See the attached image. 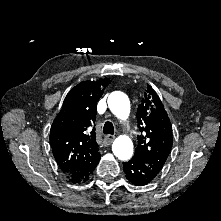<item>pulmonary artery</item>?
I'll list each match as a JSON object with an SVG mask.
<instances>
[{"mask_svg":"<svg viewBox=\"0 0 221 221\" xmlns=\"http://www.w3.org/2000/svg\"><path fill=\"white\" fill-rule=\"evenodd\" d=\"M127 128H128V130H133L134 129V126H133L132 122L127 121Z\"/></svg>","mask_w":221,"mask_h":221,"instance_id":"obj_1","label":"pulmonary artery"}]
</instances>
